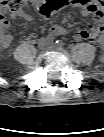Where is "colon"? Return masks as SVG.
<instances>
[{
	"label": "colon",
	"mask_w": 104,
	"mask_h": 137,
	"mask_svg": "<svg viewBox=\"0 0 104 137\" xmlns=\"http://www.w3.org/2000/svg\"><path fill=\"white\" fill-rule=\"evenodd\" d=\"M68 2L69 0H5L1 8L0 38L11 31L6 18L8 15L13 16L35 7L42 16L46 17ZM96 2L100 4L101 0H96Z\"/></svg>",
	"instance_id": "obj_1"
}]
</instances>
